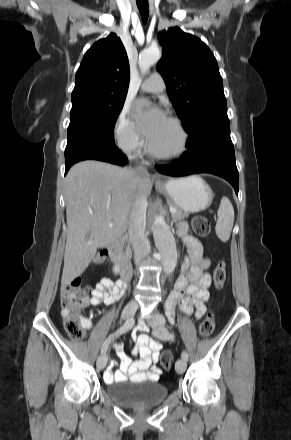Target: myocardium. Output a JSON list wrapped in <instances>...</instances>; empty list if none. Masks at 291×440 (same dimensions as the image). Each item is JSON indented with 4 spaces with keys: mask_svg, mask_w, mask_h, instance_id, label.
I'll return each instance as SVG.
<instances>
[{
    "mask_svg": "<svg viewBox=\"0 0 291 440\" xmlns=\"http://www.w3.org/2000/svg\"><path fill=\"white\" fill-rule=\"evenodd\" d=\"M167 119L173 124L174 128L176 129V131L179 135L178 149L176 151L170 152V153L160 152L157 149H155L149 143L148 140L146 141V149H147L148 153L152 157H154L155 159L164 160V161H171V160H176V159L182 157L186 153L187 147H188V134L179 119H177L176 117H173V116H168Z\"/></svg>",
    "mask_w": 291,
    "mask_h": 440,
    "instance_id": "obj_1",
    "label": "myocardium"
}]
</instances>
